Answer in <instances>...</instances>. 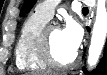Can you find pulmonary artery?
<instances>
[{"instance_id":"1","label":"pulmonary artery","mask_w":107,"mask_h":75,"mask_svg":"<svg viewBox=\"0 0 107 75\" xmlns=\"http://www.w3.org/2000/svg\"><path fill=\"white\" fill-rule=\"evenodd\" d=\"M59 0L43 1L36 7V12L47 20H50L54 14V10L59 3Z\"/></svg>"}]
</instances>
